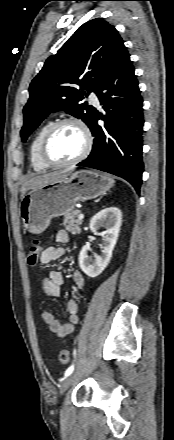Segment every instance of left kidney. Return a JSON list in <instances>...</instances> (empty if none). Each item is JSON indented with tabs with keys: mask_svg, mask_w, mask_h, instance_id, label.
<instances>
[{
	"mask_svg": "<svg viewBox=\"0 0 174 440\" xmlns=\"http://www.w3.org/2000/svg\"><path fill=\"white\" fill-rule=\"evenodd\" d=\"M122 224V213L116 207H108L99 211L90 221V229L96 232L101 227L106 229L103 236L104 246L102 247V254L96 255L95 260L92 261L88 256L89 245H84L79 254V266L81 270L89 277H97L108 266L113 249L116 245L120 227Z\"/></svg>",
	"mask_w": 174,
	"mask_h": 440,
	"instance_id": "1",
	"label": "left kidney"
}]
</instances>
